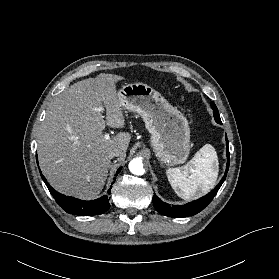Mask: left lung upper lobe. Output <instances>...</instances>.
Wrapping results in <instances>:
<instances>
[{"label": "left lung upper lobe", "instance_id": "5c2ea615", "mask_svg": "<svg viewBox=\"0 0 279 279\" xmlns=\"http://www.w3.org/2000/svg\"><path fill=\"white\" fill-rule=\"evenodd\" d=\"M211 106H212V109H213L214 118H215L216 122L222 123V122H221V119H220V116H219V114H218V110H217L216 105L212 102Z\"/></svg>", "mask_w": 279, "mask_h": 279}]
</instances>
